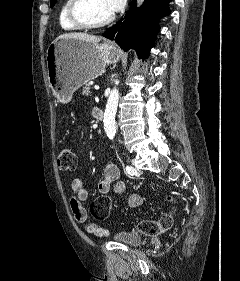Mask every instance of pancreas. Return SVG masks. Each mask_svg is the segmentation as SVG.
I'll use <instances>...</instances> for the list:
<instances>
[{
  "label": "pancreas",
  "instance_id": "cf45deb5",
  "mask_svg": "<svg viewBox=\"0 0 240 281\" xmlns=\"http://www.w3.org/2000/svg\"><path fill=\"white\" fill-rule=\"evenodd\" d=\"M90 89H91V86L86 85L82 90V95L89 96L91 94Z\"/></svg>",
  "mask_w": 240,
  "mask_h": 281
}]
</instances>
